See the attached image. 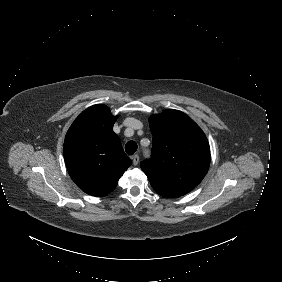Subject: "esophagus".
Listing matches in <instances>:
<instances>
[{"mask_svg": "<svg viewBox=\"0 0 282 282\" xmlns=\"http://www.w3.org/2000/svg\"><path fill=\"white\" fill-rule=\"evenodd\" d=\"M139 163V156L137 155V154H135L134 156H133V164L134 165H137Z\"/></svg>", "mask_w": 282, "mask_h": 282, "instance_id": "obj_1", "label": "esophagus"}]
</instances>
